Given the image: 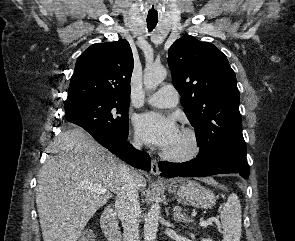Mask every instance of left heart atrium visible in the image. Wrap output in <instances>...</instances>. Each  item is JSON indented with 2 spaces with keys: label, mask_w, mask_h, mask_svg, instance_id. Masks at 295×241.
Returning <instances> with one entry per match:
<instances>
[{
  "label": "left heart atrium",
  "mask_w": 295,
  "mask_h": 241,
  "mask_svg": "<svg viewBox=\"0 0 295 241\" xmlns=\"http://www.w3.org/2000/svg\"><path fill=\"white\" fill-rule=\"evenodd\" d=\"M135 128L138 135L148 144L161 149H168L179 135V130L171 118L155 112L137 116Z\"/></svg>",
  "instance_id": "1"
}]
</instances>
